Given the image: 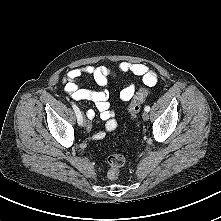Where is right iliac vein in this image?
I'll list each match as a JSON object with an SVG mask.
<instances>
[{"label":"right iliac vein","mask_w":221,"mask_h":221,"mask_svg":"<svg viewBox=\"0 0 221 221\" xmlns=\"http://www.w3.org/2000/svg\"><path fill=\"white\" fill-rule=\"evenodd\" d=\"M83 126H86V119L85 118H82V124Z\"/></svg>","instance_id":"right-iliac-vein-1"}]
</instances>
